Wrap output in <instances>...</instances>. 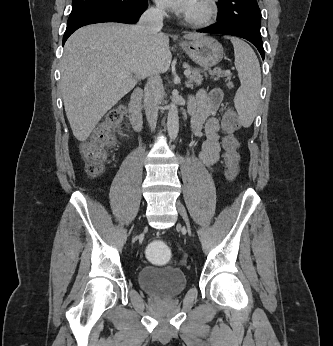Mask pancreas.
I'll list each match as a JSON object with an SVG mask.
<instances>
[{"label":"pancreas","instance_id":"pancreas-1","mask_svg":"<svg viewBox=\"0 0 333 346\" xmlns=\"http://www.w3.org/2000/svg\"><path fill=\"white\" fill-rule=\"evenodd\" d=\"M208 71L209 75L213 77L214 80H218L220 77H226V79L229 81L230 76L226 71H222L221 69H214V70H209V69H193L191 71V74L188 76V81L186 82V86L193 89L194 86H199L201 85L203 81V75L201 74L202 72ZM207 77V75L205 74ZM216 76V77H214Z\"/></svg>","mask_w":333,"mask_h":346}]
</instances>
